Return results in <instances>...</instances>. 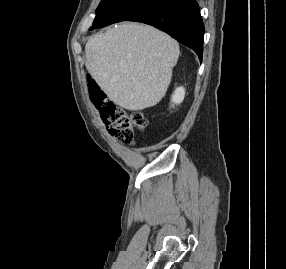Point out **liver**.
I'll list each match as a JSON object with an SVG mask.
<instances>
[{"mask_svg": "<svg viewBox=\"0 0 286 269\" xmlns=\"http://www.w3.org/2000/svg\"><path fill=\"white\" fill-rule=\"evenodd\" d=\"M86 68L110 100L127 110L155 106L166 94L179 45L162 31L122 23L85 46Z\"/></svg>", "mask_w": 286, "mask_h": 269, "instance_id": "6515ba94", "label": "liver"}]
</instances>
